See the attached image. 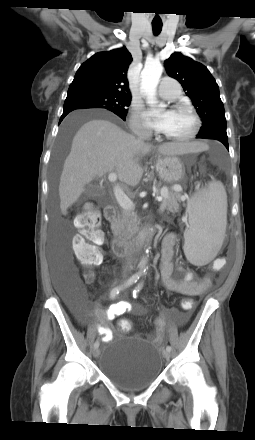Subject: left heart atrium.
Returning a JSON list of instances; mask_svg holds the SVG:
<instances>
[{"instance_id": "39dd6f15", "label": "left heart atrium", "mask_w": 255, "mask_h": 440, "mask_svg": "<svg viewBox=\"0 0 255 440\" xmlns=\"http://www.w3.org/2000/svg\"><path fill=\"white\" fill-rule=\"evenodd\" d=\"M173 111L160 112L155 109H151L147 112V118L149 124L156 130L165 132L171 123Z\"/></svg>"}]
</instances>
